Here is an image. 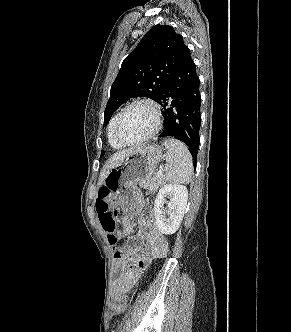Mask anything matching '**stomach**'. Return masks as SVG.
<instances>
[{"instance_id":"stomach-1","label":"stomach","mask_w":291,"mask_h":332,"mask_svg":"<svg viewBox=\"0 0 291 332\" xmlns=\"http://www.w3.org/2000/svg\"><path fill=\"white\" fill-rule=\"evenodd\" d=\"M162 157L160 146L139 147L111 169L104 179L103 186L112 192L126 213L138 212L141 196L136 184L151 178Z\"/></svg>"}]
</instances>
